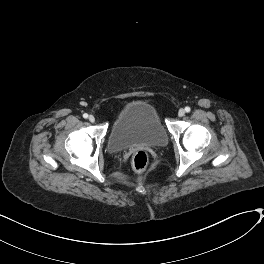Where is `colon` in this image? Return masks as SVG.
<instances>
[{
	"label": "colon",
	"instance_id": "1",
	"mask_svg": "<svg viewBox=\"0 0 264 264\" xmlns=\"http://www.w3.org/2000/svg\"><path fill=\"white\" fill-rule=\"evenodd\" d=\"M148 164V154L145 150H138L132 158V166L133 168L141 172L145 170Z\"/></svg>",
	"mask_w": 264,
	"mask_h": 264
}]
</instances>
